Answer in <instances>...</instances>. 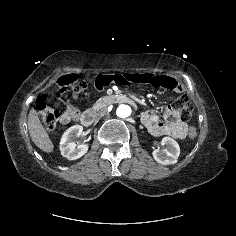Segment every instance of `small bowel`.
I'll use <instances>...</instances> for the list:
<instances>
[{
  "instance_id": "1",
  "label": "small bowel",
  "mask_w": 236,
  "mask_h": 236,
  "mask_svg": "<svg viewBox=\"0 0 236 236\" xmlns=\"http://www.w3.org/2000/svg\"><path fill=\"white\" fill-rule=\"evenodd\" d=\"M130 83L151 84L156 87L167 89L183 90L182 85L175 79L158 73H106L94 75L89 80V85L94 90L106 88H122ZM80 116L78 109L67 106L61 116V123L67 124L71 120H76ZM143 124L154 136H171L176 139H184L188 132L187 125L181 120L180 114L172 107H168L165 112V121L154 110H147L141 116Z\"/></svg>"
}]
</instances>
